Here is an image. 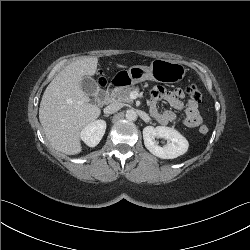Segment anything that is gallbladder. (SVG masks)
<instances>
[{"mask_svg": "<svg viewBox=\"0 0 250 250\" xmlns=\"http://www.w3.org/2000/svg\"><path fill=\"white\" fill-rule=\"evenodd\" d=\"M81 86H82L83 91L87 95H90V96H94L96 94H99L101 91L97 82L89 76H85L83 78V80L81 82Z\"/></svg>", "mask_w": 250, "mask_h": 250, "instance_id": "1", "label": "gallbladder"}]
</instances>
